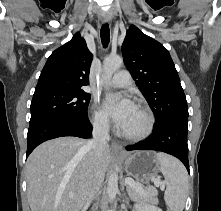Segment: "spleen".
Here are the masks:
<instances>
[{
    "label": "spleen",
    "instance_id": "obj_1",
    "mask_svg": "<svg viewBox=\"0 0 221 211\" xmlns=\"http://www.w3.org/2000/svg\"><path fill=\"white\" fill-rule=\"evenodd\" d=\"M156 157L165 178V202L171 211H183L188 194L187 171L179 160L168 154L157 153ZM147 190L153 195L156 194L153 187H148Z\"/></svg>",
    "mask_w": 221,
    "mask_h": 211
}]
</instances>
